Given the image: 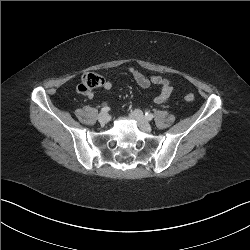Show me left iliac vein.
<instances>
[{"mask_svg": "<svg viewBox=\"0 0 250 250\" xmlns=\"http://www.w3.org/2000/svg\"><path fill=\"white\" fill-rule=\"evenodd\" d=\"M130 117L137 122L139 128L142 131H144V132H150L152 130V127H151L150 123L145 118V116L143 115V113H142L141 110L135 109L134 111H132L130 113Z\"/></svg>", "mask_w": 250, "mask_h": 250, "instance_id": "1", "label": "left iliac vein"}]
</instances>
